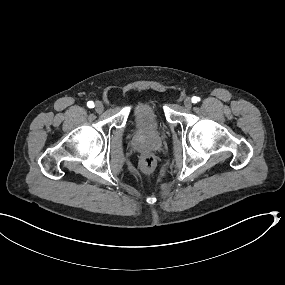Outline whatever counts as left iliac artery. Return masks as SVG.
I'll return each instance as SVG.
<instances>
[{
    "label": "left iliac artery",
    "mask_w": 285,
    "mask_h": 285,
    "mask_svg": "<svg viewBox=\"0 0 285 285\" xmlns=\"http://www.w3.org/2000/svg\"><path fill=\"white\" fill-rule=\"evenodd\" d=\"M198 101H200V98H199V97H196V96H193V97H192V102H193V103H197Z\"/></svg>",
    "instance_id": "left-iliac-artery-1"
}]
</instances>
